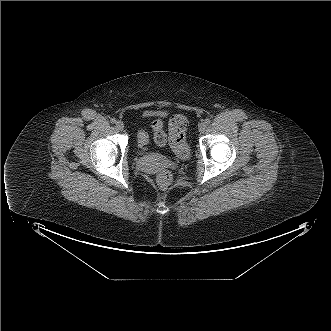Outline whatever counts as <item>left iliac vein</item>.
Returning a JSON list of instances; mask_svg holds the SVG:
<instances>
[{
	"label": "left iliac vein",
	"instance_id": "left-iliac-vein-1",
	"mask_svg": "<svg viewBox=\"0 0 331 331\" xmlns=\"http://www.w3.org/2000/svg\"><path fill=\"white\" fill-rule=\"evenodd\" d=\"M206 129V124L203 122V123H200L199 124V131L202 133L204 132Z\"/></svg>",
	"mask_w": 331,
	"mask_h": 331
}]
</instances>
